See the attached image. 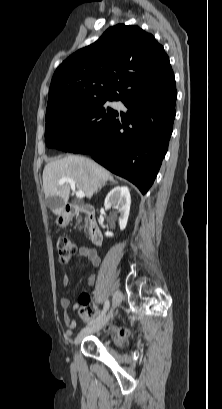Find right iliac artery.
I'll return each mask as SVG.
<instances>
[{"label":"right iliac artery","mask_w":222,"mask_h":409,"mask_svg":"<svg viewBox=\"0 0 222 409\" xmlns=\"http://www.w3.org/2000/svg\"><path fill=\"white\" fill-rule=\"evenodd\" d=\"M109 306H110V302H109V300H106V302H105V304H104L103 311L101 312V314H100L98 317L92 319V320L88 323V325H92V324H94V323L100 321V319H101V318L105 315V313L107 312Z\"/></svg>","instance_id":"1"}]
</instances>
